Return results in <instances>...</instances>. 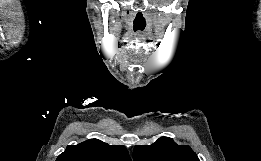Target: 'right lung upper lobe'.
Here are the masks:
<instances>
[{"instance_id": "obj_1", "label": "right lung upper lobe", "mask_w": 261, "mask_h": 161, "mask_svg": "<svg viewBox=\"0 0 261 161\" xmlns=\"http://www.w3.org/2000/svg\"><path fill=\"white\" fill-rule=\"evenodd\" d=\"M56 161H131L123 145H108L98 139H90L77 145H69Z\"/></svg>"}]
</instances>
